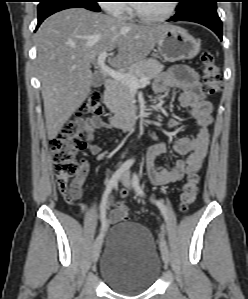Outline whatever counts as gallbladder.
I'll return each mask as SVG.
<instances>
[{"label": "gallbladder", "instance_id": "bac80fb5", "mask_svg": "<svg viewBox=\"0 0 248 299\" xmlns=\"http://www.w3.org/2000/svg\"><path fill=\"white\" fill-rule=\"evenodd\" d=\"M104 83V78L100 74H94L92 78V86L99 87Z\"/></svg>", "mask_w": 248, "mask_h": 299}]
</instances>
